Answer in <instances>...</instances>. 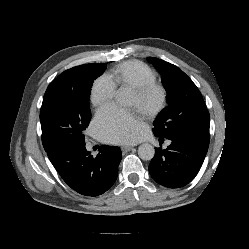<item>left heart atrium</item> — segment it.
Segmentation results:
<instances>
[{"instance_id": "left-heart-atrium-1", "label": "left heart atrium", "mask_w": 249, "mask_h": 249, "mask_svg": "<svg viewBox=\"0 0 249 249\" xmlns=\"http://www.w3.org/2000/svg\"><path fill=\"white\" fill-rule=\"evenodd\" d=\"M98 136L109 143H133L141 139L144 124L135 110H123L108 105L98 110L95 117Z\"/></svg>"}]
</instances>
